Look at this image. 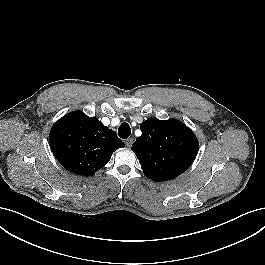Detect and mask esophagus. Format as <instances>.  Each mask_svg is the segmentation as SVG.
<instances>
[{
    "instance_id": "1",
    "label": "esophagus",
    "mask_w": 265,
    "mask_h": 265,
    "mask_svg": "<svg viewBox=\"0 0 265 265\" xmlns=\"http://www.w3.org/2000/svg\"><path fill=\"white\" fill-rule=\"evenodd\" d=\"M125 144L128 148H130L133 144V138H128L125 140Z\"/></svg>"
}]
</instances>
